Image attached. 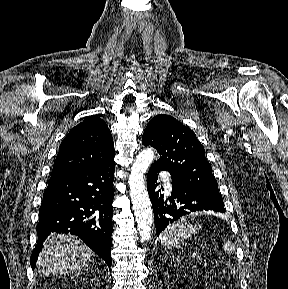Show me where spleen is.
<instances>
[{
  "mask_svg": "<svg viewBox=\"0 0 288 289\" xmlns=\"http://www.w3.org/2000/svg\"><path fill=\"white\" fill-rule=\"evenodd\" d=\"M199 229H201V225L191 224L187 219L182 218L168 226L161 234V244L165 249H170L171 246H177L179 242L188 239Z\"/></svg>",
  "mask_w": 288,
  "mask_h": 289,
  "instance_id": "1",
  "label": "spleen"
}]
</instances>
